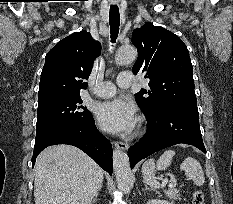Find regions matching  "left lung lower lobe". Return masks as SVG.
<instances>
[{
    "instance_id": "obj_1",
    "label": "left lung lower lobe",
    "mask_w": 233,
    "mask_h": 204,
    "mask_svg": "<svg viewBox=\"0 0 233 204\" xmlns=\"http://www.w3.org/2000/svg\"><path fill=\"white\" fill-rule=\"evenodd\" d=\"M146 117V134L128 150L131 169L149 155L179 143L193 145L206 153L198 111L167 108Z\"/></svg>"
}]
</instances>
